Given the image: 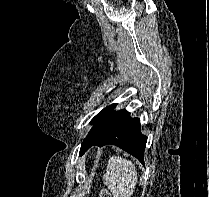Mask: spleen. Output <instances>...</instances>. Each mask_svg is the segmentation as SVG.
Here are the masks:
<instances>
[{
  "instance_id": "1",
  "label": "spleen",
  "mask_w": 209,
  "mask_h": 197,
  "mask_svg": "<svg viewBox=\"0 0 209 197\" xmlns=\"http://www.w3.org/2000/svg\"><path fill=\"white\" fill-rule=\"evenodd\" d=\"M103 182L114 197H130L138 182L136 167L130 160L112 156L108 160Z\"/></svg>"
}]
</instances>
